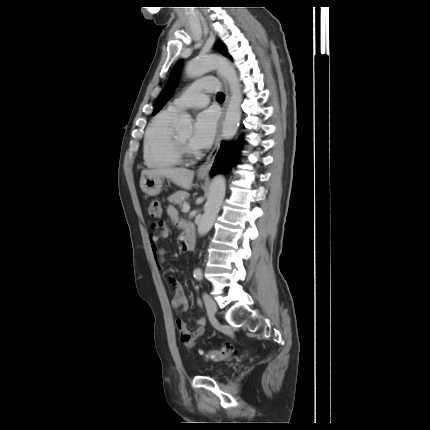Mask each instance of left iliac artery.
Returning <instances> with one entry per match:
<instances>
[{
  "instance_id": "1",
  "label": "left iliac artery",
  "mask_w": 430,
  "mask_h": 430,
  "mask_svg": "<svg viewBox=\"0 0 430 430\" xmlns=\"http://www.w3.org/2000/svg\"><path fill=\"white\" fill-rule=\"evenodd\" d=\"M193 275L197 280L202 279V271L200 269H195Z\"/></svg>"
}]
</instances>
